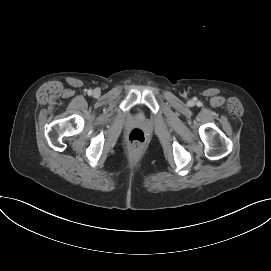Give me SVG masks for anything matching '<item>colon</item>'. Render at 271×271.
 <instances>
[{"mask_svg": "<svg viewBox=\"0 0 271 271\" xmlns=\"http://www.w3.org/2000/svg\"><path fill=\"white\" fill-rule=\"evenodd\" d=\"M128 141L133 148L139 149L144 146L146 142V135L143 130L134 128L128 134Z\"/></svg>", "mask_w": 271, "mask_h": 271, "instance_id": "obj_1", "label": "colon"}]
</instances>
